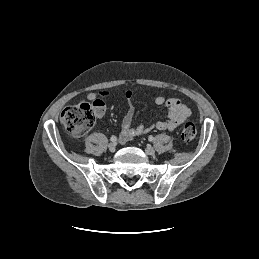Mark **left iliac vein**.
<instances>
[{
	"mask_svg": "<svg viewBox=\"0 0 259 259\" xmlns=\"http://www.w3.org/2000/svg\"><path fill=\"white\" fill-rule=\"evenodd\" d=\"M145 152L147 155H154L155 154V149L152 146H147L145 149Z\"/></svg>",
	"mask_w": 259,
	"mask_h": 259,
	"instance_id": "obj_1",
	"label": "left iliac vein"
}]
</instances>
